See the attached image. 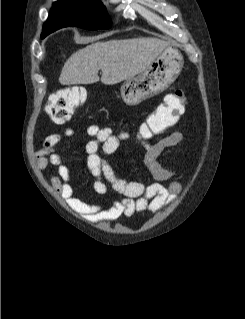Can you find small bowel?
Returning <instances> with one entry per match:
<instances>
[{
    "mask_svg": "<svg viewBox=\"0 0 245 319\" xmlns=\"http://www.w3.org/2000/svg\"><path fill=\"white\" fill-rule=\"evenodd\" d=\"M175 92L181 93V90ZM74 135V129L69 127L63 133L47 136L42 148L36 152V162L39 169L43 170L50 166L57 169V173L51 177L54 189L66 200L71 209L87 220L112 221L122 215L129 217L138 212L156 213L170 205L180 193L181 185L178 182H172L166 187L159 183L147 185L140 181L119 178L106 160V156L116 152L120 143L130 138L129 133L121 132L115 135L109 127L91 125L84 132L85 136L91 137L85 147V159L94 178V190L99 195H109L113 191L117 198L106 205H101L75 197L70 169L62 156L56 152V146L64 137ZM182 141V133L173 131L160 136L154 143L142 142L145 150V166L156 180L166 181L173 177V171L161 165L158 158L166 149L178 146Z\"/></svg>",
    "mask_w": 245,
    "mask_h": 319,
    "instance_id": "obj_1",
    "label": "small bowel"
}]
</instances>
